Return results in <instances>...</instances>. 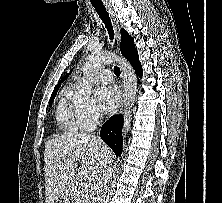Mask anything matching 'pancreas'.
I'll list each match as a JSON object with an SVG mask.
<instances>
[{
    "label": "pancreas",
    "mask_w": 222,
    "mask_h": 203,
    "mask_svg": "<svg viewBox=\"0 0 222 203\" xmlns=\"http://www.w3.org/2000/svg\"><path fill=\"white\" fill-rule=\"evenodd\" d=\"M95 194L94 192L85 191L81 189V194L79 196V203H94ZM78 203V202H76Z\"/></svg>",
    "instance_id": "cf45deb5"
}]
</instances>
